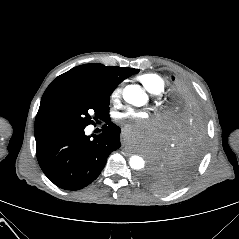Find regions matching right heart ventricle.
<instances>
[{
    "instance_id": "obj_1",
    "label": "right heart ventricle",
    "mask_w": 239,
    "mask_h": 239,
    "mask_svg": "<svg viewBox=\"0 0 239 239\" xmlns=\"http://www.w3.org/2000/svg\"><path fill=\"white\" fill-rule=\"evenodd\" d=\"M138 80L151 93L159 94L165 88L164 80L161 76L155 73H145L138 76Z\"/></svg>"
}]
</instances>
